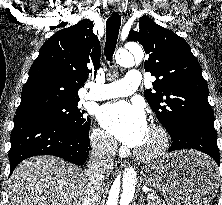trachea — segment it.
Wrapping results in <instances>:
<instances>
[{"instance_id": "1", "label": "trachea", "mask_w": 222, "mask_h": 205, "mask_svg": "<svg viewBox=\"0 0 222 205\" xmlns=\"http://www.w3.org/2000/svg\"><path fill=\"white\" fill-rule=\"evenodd\" d=\"M121 25V16L118 13H112L106 22V43L104 53L106 59L111 62L116 49L119 29Z\"/></svg>"}]
</instances>
